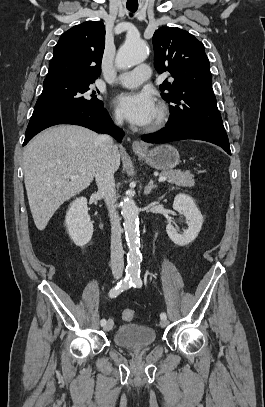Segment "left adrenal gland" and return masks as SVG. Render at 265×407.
<instances>
[{
	"label": "left adrenal gland",
	"instance_id": "obj_1",
	"mask_svg": "<svg viewBox=\"0 0 265 407\" xmlns=\"http://www.w3.org/2000/svg\"><path fill=\"white\" fill-rule=\"evenodd\" d=\"M154 188H157V186L154 185L153 180L150 179L148 185H147V186L145 187V189H144V194H145V195L150 194L151 191H152V189H154Z\"/></svg>",
	"mask_w": 265,
	"mask_h": 407
}]
</instances>
